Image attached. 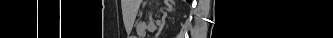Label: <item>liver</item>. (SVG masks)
I'll return each mask as SVG.
<instances>
[{
  "label": "liver",
  "instance_id": "obj_1",
  "mask_svg": "<svg viewBox=\"0 0 333 38\" xmlns=\"http://www.w3.org/2000/svg\"><path fill=\"white\" fill-rule=\"evenodd\" d=\"M133 2L135 4V6L133 7V16H135L141 4V0H134Z\"/></svg>",
  "mask_w": 333,
  "mask_h": 38
}]
</instances>
